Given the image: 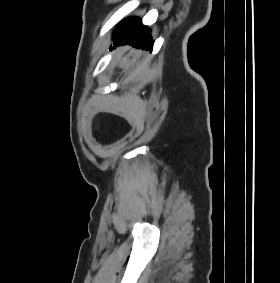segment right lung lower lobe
<instances>
[{"instance_id": "98d812e1", "label": "right lung lower lobe", "mask_w": 280, "mask_h": 283, "mask_svg": "<svg viewBox=\"0 0 280 283\" xmlns=\"http://www.w3.org/2000/svg\"><path fill=\"white\" fill-rule=\"evenodd\" d=\"M113 41L115 45L129 44L136 48L152 50L153 40L149 29L142 25L141 19L137 17L124 20L117 26Z\"/></svg>"}]
</instances>
